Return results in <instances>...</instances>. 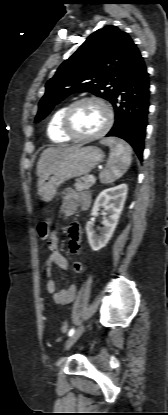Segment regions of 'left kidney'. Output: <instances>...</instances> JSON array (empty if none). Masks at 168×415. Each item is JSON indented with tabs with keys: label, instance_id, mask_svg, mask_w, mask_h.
<instances>
[{
	"label": "left kidney",
	"instance_id": "5707ae66",
	"mask_svg": "<svg viewBox=\"0 0 168 415\" xmlns=\"http://www.w3.org/2000/svg\"><path fill=\"white\" fill-rule=\"evenodd\" d=\"M127 191V185L120 184L103 190L97 196L92 208L91 216L96 217L98 215L99 207L103 206L107 211V217L103 220L104 227L102 228L100 236L95 234L93 221H89L86 224L87 238L93 251H98L105 247L111 239L123 210Z\"/></svg>",
	"mask_w": 168,
	"mask_h": 415
}]
</instances>
